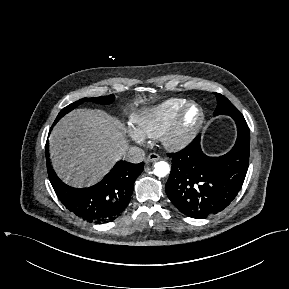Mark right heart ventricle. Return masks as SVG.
<instances>
[{"label":"right heart ventricle","instance_id":"obj_1","mask_svg":"<svg viewBox=\"0 0 289 289\" xmlns=\"http://www.w3.org/2000/svg\"><path fill=\"white\" fill-rule=\"evenodd\" d=\"M186 102L182 98H171L136 113L134 122L137 130L149 138L162 136L173 124Z\"/></svg>","mask_w":289,"mask_h":289}]
</instances>
